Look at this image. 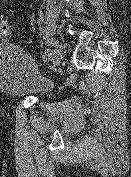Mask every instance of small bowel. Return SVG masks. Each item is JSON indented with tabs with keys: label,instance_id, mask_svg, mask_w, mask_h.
<instances>
[{
	"label": "small bowel",
	"instance_id": "obj_1",
	"mask_svg": "<svg viewBox=\"0 0 131 177\" xmlns=\"http://www.w3.org/2000/svg\"><path fill=\"white\" fill-rule=\"evenodd\" d=\"M8 0H0V8L7 2Z\"/></svg>",
	"mask_w": 131,
	"mask_h": 177
}]
</instances>
